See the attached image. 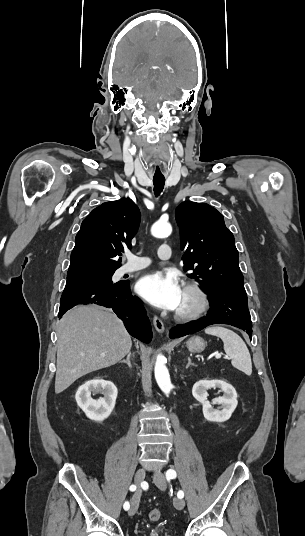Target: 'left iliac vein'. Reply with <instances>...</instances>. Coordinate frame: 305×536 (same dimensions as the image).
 I'll use <instances>...</instances> for the list:
<instances>
[{"mask_svg":"<svg viewBox=\"0 0 305 536\" xmlns=\"http://www.w3.org/2000/svg\"><path fill=\"white\" fill-rule=\"evenodd\" d=\"M154 482L160 490H165L166 481L162 472L157 471L154 473ZM174 506L179 510L183 509L185 506V501L182 498H176L174 499Z\"/></svg>","mask_w":305,"mask_h":536,"instance_id":"1","label":"left iliac vein"}]
</instances>
